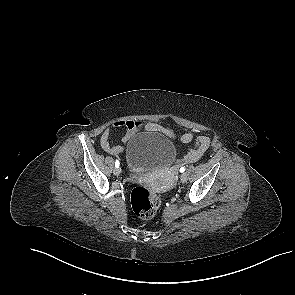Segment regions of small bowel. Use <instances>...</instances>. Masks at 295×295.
I'll return each mask as SVG.
<instances>
[{
  "instance_id": "obj_1",
  "label": "small bowel",
  "mask_w": 295,
  "mask_h": 295,
  "mask_svg": "<svg viewBox=\"0 0 295 295\" xmlns=\"http://www.w3.org/2000/svg\"><path fill=\"white\" fill-rule=\"evenodd\" d=\"M114 128L124 130L123 142L127 143L139 130L144 129L147 131H155L164 134L165 136L178 139L182 143H189L193 140L194 134L192 131H186L181 135H177L173 129L164 127L160 124L148 121H136V120H117L113 123ZM111 129L106 128L100 137V145L102 149L114 156H118L123 153L124 148L120 145H115L110 142ZM210 146V138L208 135H199L196 138L194 146L183 157V163H194L198 161L208 150Z\"/></svg>"
}]
</instances>
